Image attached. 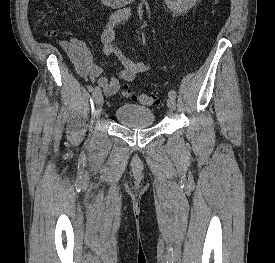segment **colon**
<instances>
[{
  "instance_id": "obj_1",
  "label": "colon",
  "mask_w": 275,
  "mask_h": 263,
  "mask_svg": "<svg viewBox=\"0 0 275 263\" xmlns=\"http://www.w3.org/2000/svg\"><path fill=\"white\" fill-rule=\"evenodd\" d=\"M49 35V32L45 33ZM122 96L131 99L133 102L143 106H156L159 104V99L152 93H136L128 88H123L121 91Z\"/></svg>"
}]
</instances>
